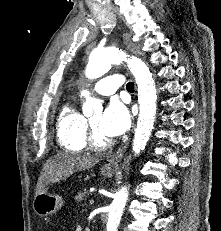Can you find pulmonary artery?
Returning <instances> with one entry per match:
<instances>
[{"instance_id": "1", "label": "pulmonary artery", "mask_w": 221, "mask_h": 231, "mask_svg": "<svg viewBox=\"0 0 221 231\" xmlns=\"http://www.w3.org/2000/svg\"><path fill=\"white\" fill-rule=\"evenodd\" d=\"M123 84L124 81L121 75L113 74L96 82L93 86V90L100 95L109 96L115 93Z\"/></svg>"}]
</instances>
